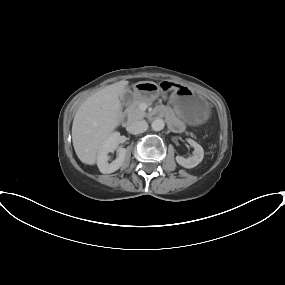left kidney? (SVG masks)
Segmentation results:
<instances>
[{
	"label": "left kidney",
	"mask_w": 285,
	"mask_h": 285,
	"mask_svg": "<svg viewBox=\"0 0 285 285\" xmlns=\"http://www.w3.org/2000/svg\"><path fill=\"white\" fill-rule=\"evenodd\" d=\"M188 143L194 148L193 156L184 158L182 156H176V161L179 165L185 168H193L197 166L204 158V150L197 142L192 139L187 140Z\"/></svg>",
	"instance_id": "obj_1"
}]
</instances>
